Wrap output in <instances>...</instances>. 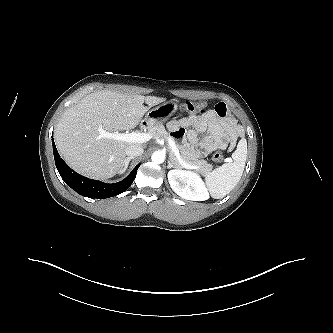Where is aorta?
I'll return each instance as SVG.
<instances>
[{"instance_id":"obj_1","label":"aorta","mask_w":333,"mask_h":333,"mask_svg":"<svg viewBox=\"0 0 333 333\" xmlns=\"http://www.w3.org/2000/svg\"><path fill=\"white\" fill-rule=\"evenodd\" d=\"M151 159L156 164L163 163L165 160V154L162 151H156L152 154Z\"/></svg>"}]
</instances>
